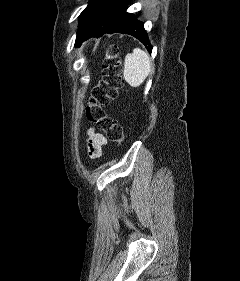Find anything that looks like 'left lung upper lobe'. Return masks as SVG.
Here are the masks:
<instances>
[{"label":"left lung upper lobe","mask_w":240,"mask_h":281,"mask_svg":"<svg viewBox=\"0 0 240 281\" xmlns=\"http://www.w3.org/2000/svg\"><path fill=\"white\" fill-rule=\"evenodd\" d=\"M104 0H90L88 6L83 10V12L79 16V28L77 32V37L84 27V25L87 23V21L91 18V16L94 14V12L97 10V8L101 5V3ZM77 39V38H76Z\"/></svg>","instance_id":"left-lung-upper-lobe-1"}]
</instances>
